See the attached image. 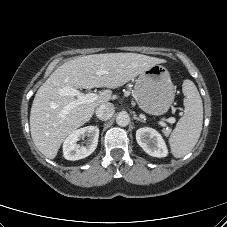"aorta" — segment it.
Returning a JSON list of instances; mask_svg holds the SVG:
<instances>
[{"label":"aorta","mask_w":227,"mask_h":227,"mask_svg":"<svg viewBox=\"0 0 227 227\" xmlns=\"http://www.w3.org/2000/svg\"><path fill=\"white\" fill-rule=\"evenodd\" d=\"M129 122H130V117L128 113L125 111L118 113V115L116 116V123L119 126H122V127L127 126Z\"/></svg>","instance_id":"1"}]
</instances>
